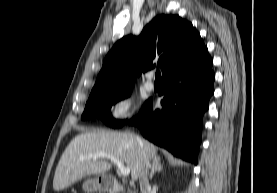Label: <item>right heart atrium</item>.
I'll return each instance as SVG.
<instances>
[{
  "label": "right heart atrium",
  "mask_w": 277,
  "mask_h": 193,
  "mask_svg": "<svg viewBox=\"0 0 277 193\" xmlns=\"http://www.w3.org/2000/svg\"><path fill=\"white\" fill-rule=\"evenodd\" d=\"M134 100L129 94H121L112 102L109 110V118L116 123L129 120L133 115Z\"/></svg>",
  "instance_id": "d8ad5b80"
}]
</instances>
